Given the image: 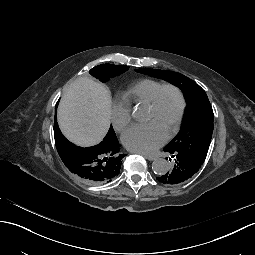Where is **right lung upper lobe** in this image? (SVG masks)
Returning a JSON list of instances; mask_svg holds the SVG:
<instances>
[{"mask_svg": "<svg viewBox=\"0 0 255 255\" xmlns=\"http://www.w3.org/2000/svg\"><path fill=\"white\" fill-rule=\"evenodd\" d=\"M54 138L58 154L63 163L81 181L87 184L100 185L111 182L119 174L121 160L125 154L120 152V145L112 127L101 143L92 147L82 148L75 146L62 135L55 116ZM81 150H88L90 153L97 152L100 154L99 176L86 178L81 176L79 167V152Z\"/></svg>", "mask_w": 255, "mask_h": 255, "instance_id": "1", "label": "right lung upper lobe"}]
</instances>
